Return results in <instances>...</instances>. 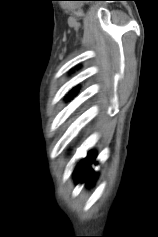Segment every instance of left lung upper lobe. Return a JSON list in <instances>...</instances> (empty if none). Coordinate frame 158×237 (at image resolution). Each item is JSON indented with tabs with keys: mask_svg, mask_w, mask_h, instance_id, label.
Wrapping results in <instances>:
<instances>
[{
	"mask_svg": "<svg viewBox=\"0 0 158 237\" xmlns=\"http://www.w3.org/2000/svg\"><path fill=\"white\" fill-rule=\"evenodd\" d=\"M76 93H77V90H76V89H74L73 91L69 92V94H68V96H67V99L72 98Z\"/></svg>",
	"mask_w": 158,
	"mask_h": 237,
	"instance_id": "left-lung-upper-lobe-1",
	"label": "left lung upper lobe"
}]
</instances>
